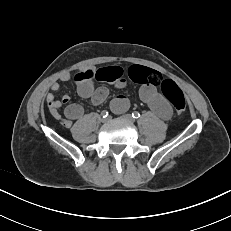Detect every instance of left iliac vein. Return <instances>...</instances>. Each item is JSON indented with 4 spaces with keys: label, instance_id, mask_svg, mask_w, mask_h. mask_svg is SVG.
I'll list each match as a JSON object with an SVG mask.
<instances>
[{
    "label": "left iliac vein",
    "instance_id": "4c4485c4",
    "mask_svg": "<svg viewBox=\"0 0 231 231\" xmlns=\"http://www.w3.org/2000/svg\"><path fill=\"white\" fill-rule=\"evenodd\" d=\"M123 119H125V120H127L129 122H133L134 121L133 117L130 114L123 115Z\"/></svg>",
    "mask_w": 231,
    "mask_h": 231
}]
</instances>
